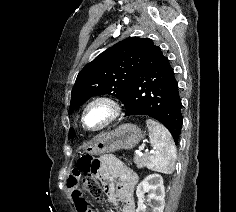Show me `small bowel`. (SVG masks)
Segmentation results:
<instances>
[{
  "instance_id": "1",
  "label": "small bowel",
  "mask_w": 236,
  "mask_h": 212,
  "mask_svg": "<svg viewBox=\"0 0 236 212\" xmlns=\"http://www.w3.org/2000/svg\"><path fill=\"white\" fill-rule=\"evenodd\" d=\"M97 164L98 167L94 168V171L103 179L111 202L121 205V212H136L133 188L137 182V176L133 170L111 155H103ZM81 172L79 168L72 171L68 178L67 188L77 212H90L86 198L77 188V181ZM114 180H117L116 185L113 184Z\"/></svg>"
}]
</instances>
